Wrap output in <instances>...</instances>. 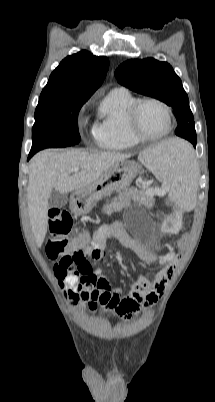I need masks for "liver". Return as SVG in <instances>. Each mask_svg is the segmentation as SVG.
<instances>
[{
    "mask_svg": "<svg viewBox=\"0 0 215 402\" xmlns=\"http://www.w3.org/2000/svg\"><path fill=\"white\" fill-rule=\"evenodd\" d=\"M129 155L116 152L92 153L82 150L57 152L43 150L31 160L27 187L30 225L38 247L44 242L48 227V202L53 189L67 194L83 189ZM80 171L71 175V169Z\"/></svg>",
    "mask_w": 215,
    "mask_h": 402,
    "instance_id": "liver-1",
    "label": "liver"
}]
</instances>
